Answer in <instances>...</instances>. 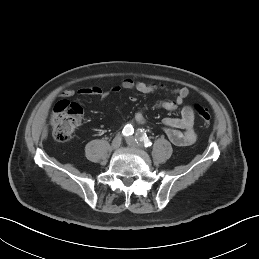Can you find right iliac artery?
<instances>
[{
	"instance_id": "right-iliac-artery-1",
	"label": "right iliac artery",
	"mask_w": 259,
	"mask_h": 259,
	"mask_svg": "<svg viewBox=\"0 0 259 259\" xmlns=\"http://www.w3.org/2000/svg\"><path fill=\"white\" fill-rule=\"evenodd\" d=\"M122 133H123L124 136L132 135L134 133V129H133L132 125L131 124L125 125Z\"/></svg>"
}]
</instances>
